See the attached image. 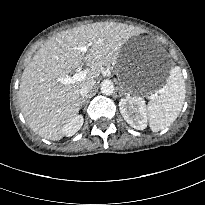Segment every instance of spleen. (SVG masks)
I'll return each instance as SVG.
<instances>
[{"instance_id":"3e777b00","label":"spleen","mask_w":205,"mask_h":205,"mask_svg":"<svg viewBox=\"0 0 205 205\" xmlns=\"http://www.w3.org/2000/svg\"><path fill=\"white\" fill-rule=\"evenodd\" d=\"M186 94L181 68L171 69L167 84L159 95L151 96L146 112L153 132L168 128L179 116Z\"/></svg>"}]
</instances>
